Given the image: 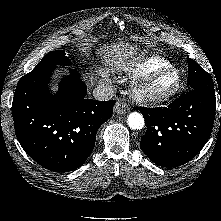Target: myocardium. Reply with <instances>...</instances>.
I'll return each instance as SVG.
<instances>
[{
	"instance_id": "myocardium-1",
	"label": "myocardium",
	"mask_w": 221,
	"mask_h": 221,
	"mask_svg": "<svg viewBox=\"0 0 221 221\" xmlns=\"http://www.w3.org/2000/svg\"><path fill=\"white\" fill-rule=\"evenodd\" d=\"M174 74L176 76V83L168 90L158 91L154 90L153 83L162 75ZM183 77L181 72L174 67L155 70L140 76L130 86L131 97L143 104H160L173 98L182 88Z\"/></svg>"
}]
</instances>
